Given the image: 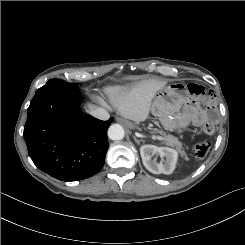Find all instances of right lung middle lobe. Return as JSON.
Listing matches in <instances>:
<instances>
[{"label":"right lung middle lobe","instance_id":"dd1d6c3e","mask_svg":"<svg viewBox=\"0 0 245 245\" xmlns=\"http://www.w3.org/2000/svg\"><path fill=\"white\" fill-rule=\"evenodd\" d=\"M57 84H68V85H72V86H77L74 83H67V82L60 80V79H50L43 87L50 86V85H57ZM43 87H41V88H43ZM41 88H39V89H41Z\"/></svg>","mask_w":245,"mask_h":245}]
</instances>
